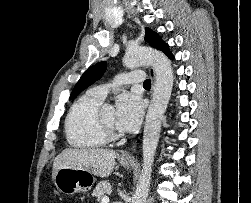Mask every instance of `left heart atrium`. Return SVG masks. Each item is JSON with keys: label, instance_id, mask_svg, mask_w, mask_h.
Returning <instances> with one entry per match:
<instances>
[{"label": "left heart atrium", "instance_id": "obj_1", "mask_svg": "<svg viewBox=\"0 0 251 203\" xmlns=\"http://www.w3.org/2000/svg\"><path fill=\"white\" fill-rule=\"evenodd\" d=\"M143 118L141 99L132 93L121 94L116 101V127L121 132L136 130Z\"/></svg>", "mask_w": 251, "mask_h": 203}]
</instances>
